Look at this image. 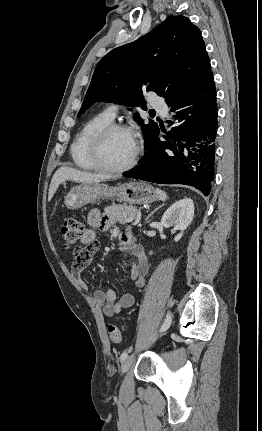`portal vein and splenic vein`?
<instances>
[{
    "label": "portal vein and splenic vein",
    "mask_w": 262,
    "mask_h": 431,
    "mask_svg": "<svg viewBox=\"0 0 262 431\" xmlns=\"http://www.w3.org/2000/svg\"><path fill=\"white\" fill-rule=\"evenodd\" d=\"M134 220H135L134 224H138L139 223V219L138 218L136 219L134 216L128 217L126 219L127 222H133Z\"/></svg>",
    "instance_id": "portal-vein-and-splenic-vein-1"
}]
</instances>
